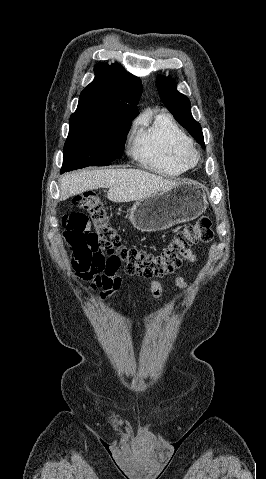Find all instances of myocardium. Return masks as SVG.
Instances as JSON below:
<instances>
[{
	"label": "myocardium",
	"mask_w": 266,
	"mask_h": 479,
	"mask_svg": "<svg viewBox=\"0 0 266 479\" xmlns=\"http://www.w3.org/2000/svg\"><path fill=\"white\" fill-rule=\"evenodd\" d=\"M187 158L192 161L194 164H196L199 160V153L195 149H191L187 152Z\"/></svg>",
	"instance_id": "f54148a6"
}]
</instances>
